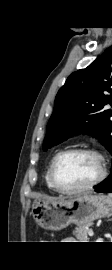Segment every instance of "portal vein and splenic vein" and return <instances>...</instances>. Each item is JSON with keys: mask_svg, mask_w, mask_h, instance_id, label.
Listing matches in <instances>:
<instances>
[{"mask_svg": "<svg viewBox=\"0 0 112 270\" xmlns=\"http://www.w3.org/2000/svg\"><path fill=\"white\" fill-rule=\"evenodd\" d=\"M88 234H89V236H93L94 232L92 230H89Z\"/></svg>", "mask_w": 112, "mask_h": 270, "instance_id": "18ae733b", "label": "portal vein and splenic vein"}]
</instances>
